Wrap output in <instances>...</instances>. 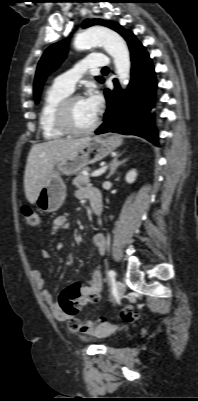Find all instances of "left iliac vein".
I'll use <instances>...</instances> for the list:
<instances>
[{
	"mask_svg": "<svg viewBox=\"0 0 198 401\" xmlns=\"http://www.w3.org/2000/svg\"><path fill=\"white\" fill-rule=\"evenodd\" d=\"M116 292L119 297H122L125 292L124 284L120 280L116 282Z\"/></svg>",
	"mask_w": 198,
	"mask_h": 401,
	"instance_id": "4c4485c4",
	"label": "left iliac vein"
}]
</instances>
